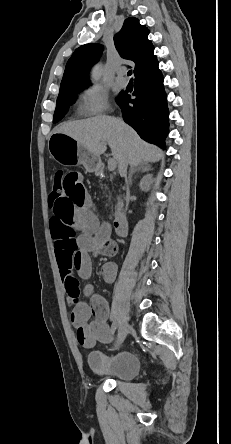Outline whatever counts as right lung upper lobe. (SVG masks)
<instances>
[{
	"label": "right lung upper lobe",
	"mask_w": 231,
	"mask_h": 444,
	"mask_svg": "<svg viewBox=\"0 0 231 444\" xmlns=\"http://www.w3.org/2000/svg\"><path fill=\"white\" fill-rule=\"evenodd\" d=\"M148 34L149 30L141 25L138 19L130 17L125 20L122 29L114 36L115 47L120 56L136 64L133 71L135 77L158 65L157 58L153 54L154 46L147 38ZM102 51L103 46L95 43L77 48L66 64L59 93L89 84V70Z\"/></svg>",
	"instance_id": "1"
}]
</instances>
